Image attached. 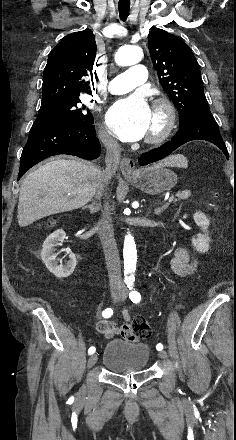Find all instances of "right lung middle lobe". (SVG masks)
<instances>
[{
  "label": "right lung middle lobe",
  "mask_w": 236,
  "mask_h": 440,
  "mask_svg": "<svg viewBox=\"0 0 236 440\" xmlns=\"http://www.w3.org/2000/svg\"><path fill=\"white\" fill-rule=\"evenodd\" d=\"M79 103L81 101L79 97H76L61 102L41 105L37 119L50 118L80 124H93L92 114L85 105L81 106ZM85 110H87V114L84 112Z\"/></svg>",
  "instance_id": "dd1d6c3e"
}]
</instances>
